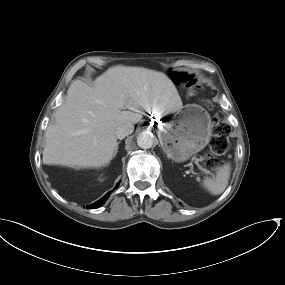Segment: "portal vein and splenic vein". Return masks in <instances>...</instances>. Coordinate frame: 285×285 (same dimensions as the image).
Returning a JSON list of instances; mask_svg holds the SVG:
<instances>
[{
	"label": "portal vein and splenic vein",
	"mask_w": 285,
	"mask_h": 285,
	"mask_svg": "<svg viewBox=\"0 0 285 285\" xmlns=\"http://www.w3.org/2000/svg\"><path fill=\"white\" fill-rule=\"evenodd\" d=\"M193 161L198 165V163H199V159L194 158V159H193ZM199 168H200V169H202V168H201V166H199Z\"/></svg>",
	"instance_id": "portal-vein-and-splenic-vein-1"
}]
</instances>
